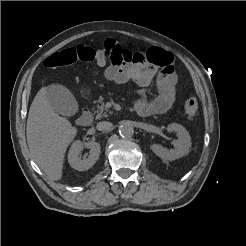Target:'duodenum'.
Segmentation results:
<instances>
[{
	"label": "duodenum",
	"instance_id": "obj_1",
	"mask_svg": "<svg viewBox=\"0 0 246 246\" xmlns=\"http://www.w3.org/2000/svg\"><path fill=\"white\" fill-rule=\"evenodd\" d=\"M92 122V113L88 108H84L77 119V123L81 126H88Z\"/></svg>",
	"mask_w": 246,
	"mask_h": 246
}]
</instances>
